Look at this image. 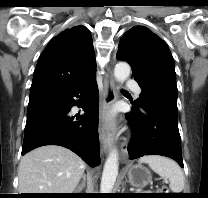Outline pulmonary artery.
<instances>
[{"label":"pulmonary artery","instance_id":"e3ab8cb5","mask_svg":"<svg viewBox=\"0 0 208 198\" xmlns=\"http://www.w3.org/2000/svg\"><path fill=\"white\" fill-rule=\"evenodd\" d=\"M127 86L134 92L135 96L138 98L141 93L140 87L132 80L127 81Z\"/></svg>","mask_w":208,"mask_h":198}]
</instances>
